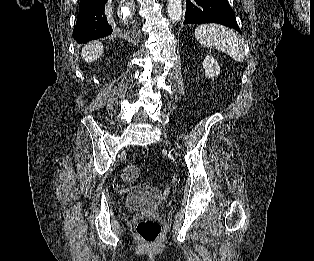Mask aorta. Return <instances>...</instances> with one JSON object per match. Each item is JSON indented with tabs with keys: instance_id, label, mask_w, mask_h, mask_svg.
I'll use <instances>...</instances> for the list:
<instances>
[{
	"instance_id": "762f6f07",
	"label": "aorta",
	"mask_w": 314,
	"mask_h": 261,
	"mask_svg": "<svg viewBox=\"0 0 314 261\" xmlns=\"http://www.w3.org/2000/svg\"><path fill=\"white\" fill-rule=\"evenodd\" d=\"M168 16L173 22H178L182 17V3L181 0L167 1Z\"/></svg>"
}]
</instances>
